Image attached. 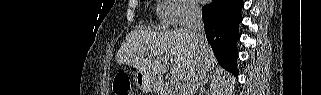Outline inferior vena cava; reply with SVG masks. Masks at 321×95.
Masks as SVG:
<instances>
[{"label": "inferior vena cava", "instance_id": "602c4592", "mask_svg": "<svg viewBox=\"0 0 321 95\" xmlns=\"http://www.w3.org/2000/svg\"><path fill=\"white\" fill-rule=\"evenodd\" d=\"M187 27L193 36L194 42L197 45L199 52L203 49L206 41L204 24L202 20L201 9L198 6L190 5L188 7ZM206 77V65L202 58L196 68L186 77L183 86L180 88L178 95H195L198 88Z\"/></svg>", "mask_w": 321, "mask_h": 95}]
</instances>
